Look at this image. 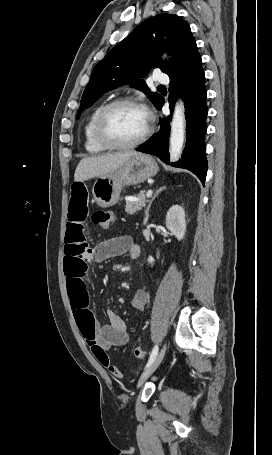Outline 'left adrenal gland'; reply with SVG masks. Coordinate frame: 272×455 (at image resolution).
<instances>
[{
  "label": "left adrenal gland",
  "mask_w": 272,
  "mask_h": 455,
  "mask_svg": "<svg viewBox=\"0 0 272 455\" xmlns=\"http://www.w3.org/2000/svg\"><path fill=\"white\" fill-rule=\"evenodd\" d=\"M165 189H166V187H165V186H162V187H160L159 189L156 190L154 196H153L152 199L150 200V202H149V204H148V207H147V209H146V211H145L144 224H146L147 221H148V218H149V213H148V212H149V209H150V207H151L152 202L156 199V197L158 196V194H159L161 191L165 190Z\"/></svg>",
  "instance_id": "1"
}]
</instances>
